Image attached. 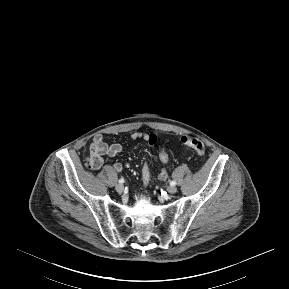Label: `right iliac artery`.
<instances>
[{"label": "right iliac artery", "instance_id": "right-iliac-artery-1", "mask_svg": "<svg viewBox=\"0 0 289 289\" xmlns=\"http://www.w3.org/2000/svg\"><path fill=\"white\" fill-rule=\"evenodd\" d=\"M120 184L124 183V179H119L118 181Z\"/></svg>", "mask_w": 289, "mask_h": 289}]
</instances>
